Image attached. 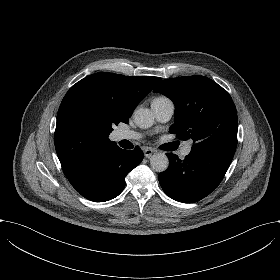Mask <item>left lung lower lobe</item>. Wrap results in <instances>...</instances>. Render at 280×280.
I'll return each mask as SVG.
<instances>
[{
    "label": "left lung lower lobe",
    "instance_id": "1",
    "mask_svg": "<svg viewBox=\"0 0 280 280\" xmlns=\"http://www.w3.org/2000/svg\"><path fill=\"white\" fill-rule=\"evenodd\" d=\"M169 166L158 176L163 191L172 199L197 202L209 195L222 181L232 158L227 155L193 151L184 160L167 153Z\"/></svg>",
    "mask_w": 280,
    "mask_h": 280
}]
</instances>
